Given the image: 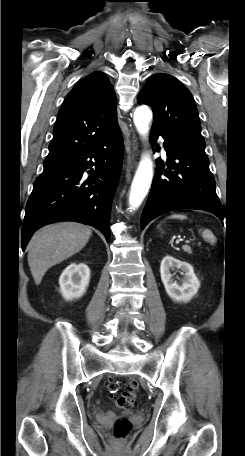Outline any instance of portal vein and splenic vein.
Listing matches in <instances>:
<instances>
[{
    "label": "portal vein and splenic vein",
    "instance_id": "1",
    "mask_svg": "<svg viewBox=\"0 0 245 456\" xmlns=\"http://www.w3.org/2000/svg\"><path fill=\"white\" fill-rule=\"evenodd\" d=\"M184 242H185V244H190L191 243L190 240H185Z\"/></svg>",
    "mask_w": 245,
    "mask_h": 456
}]
</instances>
